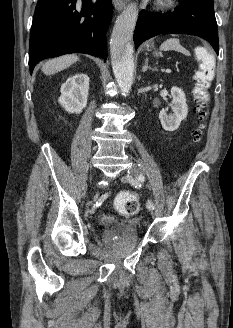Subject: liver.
Instances as JSON below:
<instances>
[{
  "label": "liver",
  "instance_id": "liver-1",
  "mask_svg": "<svg viewBox=\"0 0 233 328\" xmlns=\"http://www.w3.org/2000/svg\"><path fill=\"white\" fill-rule=\"evenodd\" d=\"M78 59L79 58L77 55H64L45 62L42 65L41 70L44 74L51 75L58 71L66 69L67 67L75 63Z\"/></svg>",
  "mask_w": 233,
  "mask_h": 328
}]
</instances>
